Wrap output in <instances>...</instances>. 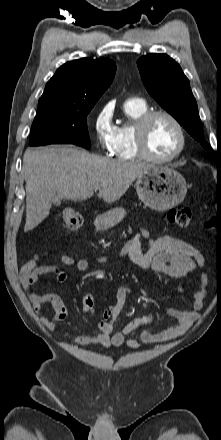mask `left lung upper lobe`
Returning a JSON list of instances; mask_svg holds the SVG:
<instances>
[{"instance_id": "5c2ea615", "label": "left lung upper lobe", "mask_w": 221, "mask_h": 440, "mask_svg": "<svg viewBox=\"0 0 221 440\" xmlns=\"http://www.w3.org/2000/svg\"><path fill=\"white\" fill-rule=\"evenodd\" d=\"M137 65L148 93L213 155L204 138L189 80L179 64L166 54H149Z\"/></svg>"}]
</instances>
